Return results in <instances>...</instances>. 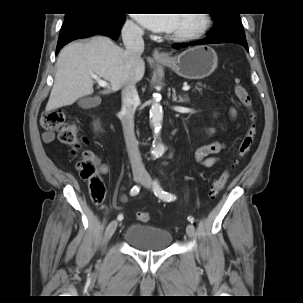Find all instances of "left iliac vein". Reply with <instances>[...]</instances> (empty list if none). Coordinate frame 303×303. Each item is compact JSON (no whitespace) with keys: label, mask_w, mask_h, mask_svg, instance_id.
Returning a JSON list of instances; mask_svg holds the SVG:
<instances>
[{"label":"left iliac vein","mask_w":303,"mask_h":303,"mask_svg":"<svg viewBox=\"0 0 303 303\" xmlns=\"http://www.w3.org/2000/svg\"><path fill=\"white\" fill-rule=\"evenodd\" d=\"M141 184L146 188H152V179L149 174L144 175V179L141 181ZM187 235L190 238H193L195 235V227L192 223H189L186 227Z\"/></svg>","instance_id":"left-iliac-vein-1"}]
</instances>
